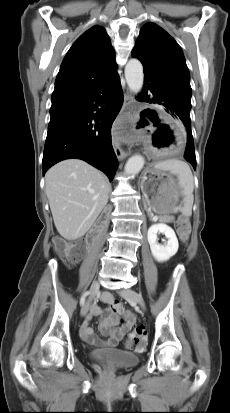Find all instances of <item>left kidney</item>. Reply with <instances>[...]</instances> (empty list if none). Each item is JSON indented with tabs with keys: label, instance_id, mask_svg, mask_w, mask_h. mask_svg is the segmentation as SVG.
Returning a JSON list of instances; mask_svg holds the SVG:
<instances>
[{
	"label": "left kidney",
	"instance_id": "1",
	"mask_svg": "<svg viewBox=\"0 0 230 413\" xmlns=\"http://www.w3.org/2000/svg\"><path fill=\"white\" fill-rule=\"evenodd\" d=\"M162 233L168 239L165 245H161L157 242V234ZM148 242L150 245L151 253L154 259L158 262H164L169 260L178 251V239L174 230L163 223L152 225L148 229L147 233Z\"/></svg>",
	"mask_w": 230,
	"mask_h": 413
}]
</instances>
